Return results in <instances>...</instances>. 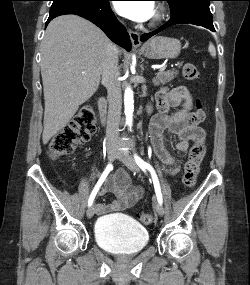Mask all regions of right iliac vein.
<instances>
[{"label": "right iliac vein", "mask_w": 250, "mask_h": 285, "mask_svg": "<svg viewBox=\"0 0 250 285\" xmlns=\"http://www.w3.org/2000/svg\"><path fill=\"white\" fill-rule=\"evenodd\" d=\"M116 153L117 151L115 147H109L107 149V159L109 162H112L114 160ZM94 213H95V207L94 205H91L87 210V217L92 218Z\"/></svg>", "instance_id": "obj_1"}]
</instances>
